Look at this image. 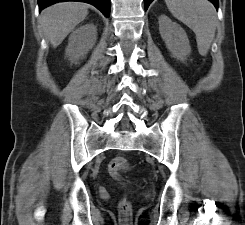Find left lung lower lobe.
Segmentation results:
<instances>
[{"instance_id":"obj_1","label":"left lung lower lobe","mask_w":245,"mask_h":225,"mask_svg":"<svg viewBox=\"0 0 245 225\" xmlns=\"http://www.w3.org/2000/svg\"><path fill=\"white\" fill-rule=\"evenodd\" d=\"M153 0H144V4H145V11L147 10L148 6L150 5V3ZM210 2H212L214 4V6L216 7V9H218V0H209Z\"/></svg>"}]
</instances>
